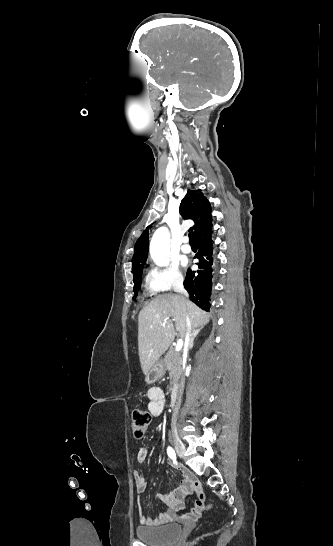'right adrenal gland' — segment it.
<instances>
[{"instance_id":"2a0ac1e0","label":"right adrenal gland","mask_w":333,"mask_h":546,"mask_svg":"<svg viewBox=\"0 0 333 546\" xmlns=\"http://www.w3.org/2000/svg\"><path fill=\"white\" fill-rule=\"evenodd\" d=\"M203 329V326H200L199 328L197 329H194L193 330V334H192V337H191V340H190V344H189V349H191L194 345V339L195 337L199 334V332Z\"/></svg>"}]
</instances>
